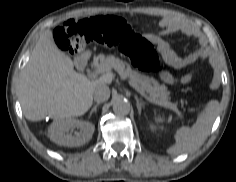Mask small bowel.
Returning a JSON list of instances; mask_svg holds the SVG:
<instances>
[{
    "label": "small bowel",
    "instance_id": "c3829d8e",
    "mask_svg": "<svg viewBox=\"0 0 236 182\" xmlns=\"http://www.w3.org/2000/svg\"><path fill=\"white\" fill-rule=\"evenodd\" d=\"M161 30L144 34L143 37L152 45H155L165 62L175 69H181L197 61L203 60L206 56L205 45L202 43L199 48L186 56L180 57L171 49L169 43L164 39L165 36L174 33H183L187 36H196L195 30L185 21L173 17L166 16L160 20ZM192 72L180 78V83H189L192 79Z\"/></svg>",
    "mask_w": 236,
    "mask_h": 182
}]
</instances>
